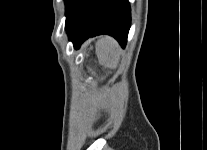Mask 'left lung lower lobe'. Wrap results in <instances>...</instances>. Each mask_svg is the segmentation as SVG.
<instances>
[{"instance_id": "1", "label": "left lung lower lobe", "mask_w": 207, "mask_h": 150, "mask_svg": "<svg viewBox=\"0 0 207 150\" xmlns=\"http://www.w3.org/2000/svg\"><path fill=\"white\" fill-rule=\"evenodd\" d=\"M65 29L76 49L90 36L108 34L122 47L131 24L128 0H65Z\"/></svg>"}]
</instances>
